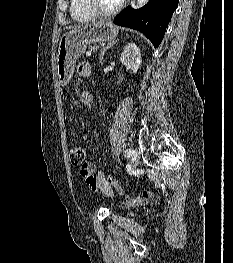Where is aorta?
Segmentation results:
<instances>
[{"label":"aorta","instance_id":"1","mask_svg":"<svg viewBox=\"0 0 233 263\" xmlns=\"http://www.w3.org/2000/svg\"><path fill=\"white\" fill-rule=\"evenodd\" d=\"M149 0H137V7L145 5Z\"/></svg>","mask_w":233,"mask_h":263}]
</instances>
